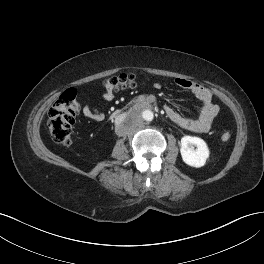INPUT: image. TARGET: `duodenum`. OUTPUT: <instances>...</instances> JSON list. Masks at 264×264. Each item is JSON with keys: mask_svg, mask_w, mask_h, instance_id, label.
<instances>
[{"mask_svg": "<svg viewBox=\"0 0 264 264\" xmlns=\"http://www.w3.org/2000/svg\"><path fill=\"white\" fill-rule=\"evenodd\" d=\"M154 100L151 99L149 96L140 98L136 101L135 107L137 109H151L153 107ZM132 113V111H128L126 113L121 114L122 117H127ZM120 113H117L116 115H119Z\"/></svg>", "mask_w": 264, "mask_h": 264, "instance_id": "obj_1", "label": "duodenum"}]
</instances>
